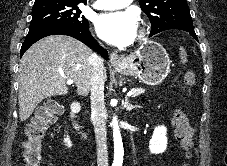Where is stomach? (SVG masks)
I'll list each match as a JSON object with an SVG mask.
<instances>
[{"mask_svg": "<svg viewBox=\"0 0 227 166\" xmlns=\"http://www.w3.org/2000/svg\"><path fill=\"white\" fill-rule=\"evenodd\" d=\"M170 65L166 49L155 41H148L114 68L123 75L136 76L143 83L153 86L167 77Z\"/></svg>", "mask_w": 227, "mask_h": 166, "instance_id": "obj_1", "label": "stomach"}]
</instances>
